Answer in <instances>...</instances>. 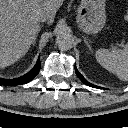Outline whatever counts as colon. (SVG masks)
I'll return each mask as SVG.
<instances>
[{"instance_id": "obj_1", "label": "colon", "mask_w": 128, "mask_h": 128, "mask_svg": "<svg viewBox=\"0 0 128 128\" xmlns=\"http://www.w3.org/2000/svg\"><path fill=\"white\" fill-rule=\"evenodd\" d=\"M124 18H125L126 21H128V9L125 12Z\"/></svg>"}]
</instances>
